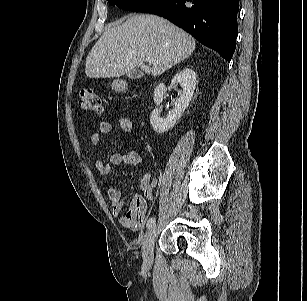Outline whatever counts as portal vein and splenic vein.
I'll list each match as a JSON object with an SVG mask.
<instances>
[{
    "mask_svg": "<svg viewBox=\"0 0 307 301\" xmlns=\"http://www.w3.org/2000/svg\"><path fill=\"white\" fill-rule=\"evenodd\" d=\"M145 60H146V62L152 63V64L156 62V60H154V59H152L150 57H147Z\"/></svg>",
    "mask_w": 307,
    "mask_h": 301,
    "instance_id": "obj_1",
    "label": "portal vein and splenic vein"
}]
</instances>
